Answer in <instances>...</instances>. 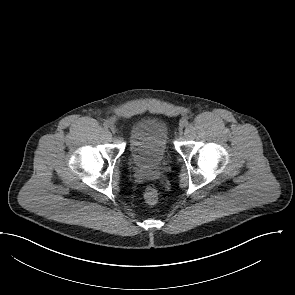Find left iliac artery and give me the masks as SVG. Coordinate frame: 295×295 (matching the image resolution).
<instances>
[{
	"label": "left iliac artery",
	"instance_id": "left-iliac-artery-1",
	"mask_svg": "<svg viewBox=\"0 0 295 295\" xmlns=\"http://www.w3.org/2000/svg\"><path fill=\"white\" fill-rule=\"evenodd\" d=\"M183 126H188L189 122L187 120L182 121Z\"/></svg>",
	"mask_w": 295,
	"mask_h": 295
}]
</instances>
